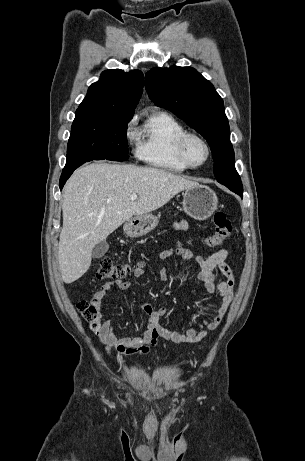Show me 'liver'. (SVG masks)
<instances>
[{
  "mask_svg": "<svg viewBox=\"0 0 305 461\" xmlns=\"http://www.w3.org/2000/svg\"><path fill=\"white\" fill-rule=\"evenodd\" d=\"M199 185L171 172L93 163L77 169L64 188L58 261L69 284L89 269L92 250L132 216L148 214L176 194ZM132 194L138 198L130 199Z\"/></svg>",
  "mask_w": 305,
  "mask_h": 461,
  "instance_id": "obj_1",
  "label": "liver"
}]
</instances>
